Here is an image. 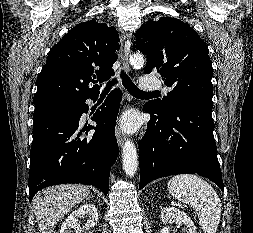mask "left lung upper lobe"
Here are the masks:
<instances>
[{
    "label": "left lung upper lobe",
    "instance_id": "left-lung-upper-lobe-1",
    "mask_svg": "<svg viewBox=\"0 0 253 233\" xmlns=\"http://www.w3.org/2000/svg\"><path fill=\"white\" fill-rule=\"evenodd\" d=\"M136 48L147 56L144 73L158 72L173 88L151 102L161 115L191 102L213 105V68L208 47L197 32L179 19L162 17L144 23L135 34Z\"/></svg>",
    "mask_w": 253,
    "mask_h": 233
}]
</instances>
